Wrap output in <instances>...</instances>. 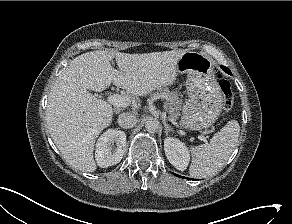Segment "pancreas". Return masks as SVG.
<instances>
[{
  "label": "pancreas",
  "mask_w": 292,
  "mask_h": 224,
  "mask_svg": "<svg viewBox=\"0 0 292 224\" xmlns=\"http://www.w3.org/2000/svg\"><path fill=\"white\" fill-rule=\"evenodd\" d=\"M156 95L166 100V110L170 115V119H176L182 105V99L179 97L180 95L177 92L169 91L166 88H161Z\"/></svg>",
  "instance_id": "cf45deb5"
}]
</instances>
